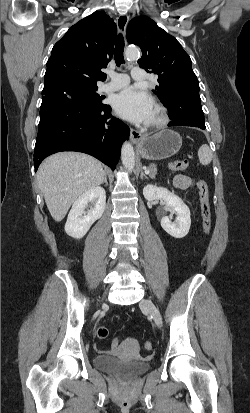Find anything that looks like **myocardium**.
I'll return each instance as SVG.
<instances>
[{
	"label": "myocardium",
	"instance_id": "myocardium-1",
	"mask_svg": "<svg viewBox=\"0 0 250 413\" xmlns=\"http://www.w3.org/2000/svg\"><path fill=\"white\" fill-rule=\"evenodd\" d=\"M155 118L149 122L148 126L153 129L164 127L169 121V112L167 107L161 102L155 101L153 104Z\"/></svg>",
	"mask_w": 250,
	"mask_h": 413
}]
</instances>
